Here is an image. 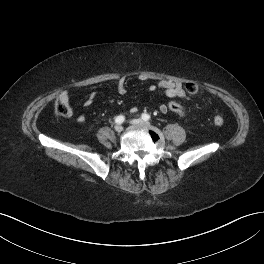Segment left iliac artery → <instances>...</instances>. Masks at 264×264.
<instances>
[{
    "label": "left iliac artery",
    "instance_id": "obj_1",
    "mask_svg": "<svg viewBox=\"0 0 264 264\" xmlns=\"http://www.w3.org/2000/svg\"><path fill=\"white\" fill-rule=\"evenodd\" d=\"M142 119H143L144 121H147V120H149V119H150V115H149V114H146V113H144V114H142Z\"/></svg>",
    "mask_w": 264,
    "mask_h": 264
}]
</instances>
